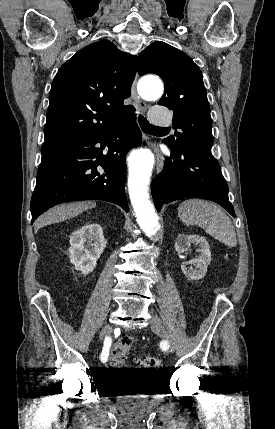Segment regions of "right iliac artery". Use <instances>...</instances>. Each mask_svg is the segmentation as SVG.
Segmentation results:
<instances>
[{
    "mask_svg": "<svg viewBox=\"0 0 275 429\" xmlns=\"http://www.w3.org/2000/svg\"><path fill=\"white\" fill-rule=\"evenodd\" d=\"M111 343H112L111 338L110 337H106L105 340H104L103 350H102V353H101V356H100L102 362H106L107 359H108L109 348L111 346Z\"/></svg>",
    "mask_w": 275,
    "mask_h": 429,
    "instance_id": "obj_1",
    "label": "right iliac artery"
}]
</instances>
